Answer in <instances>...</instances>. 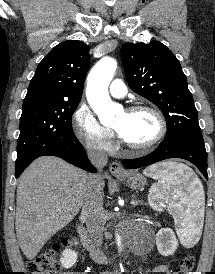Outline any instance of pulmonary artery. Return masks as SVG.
Instances as JSON below:
<instances>
[{
    "mask_svg": "<svg viewBox=\"0 0 215 274\" xmlns=\"http://www.w3.org/2000/svg\"><path fill=\"white\" fill-rule=\"evenodd\" d=\"M109 92L115 98H123L127 94V87L121 79H115L110 84Z\"/></svg>",
    "mask_w": 215,
    "mask_h": 274,
    "instance_id": "1",
    "label": "pulmonary artery"
}]
</instances>
